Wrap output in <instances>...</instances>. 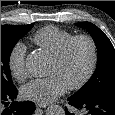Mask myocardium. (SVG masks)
Instances as JSON below:
<instances>
[{"mask_svg": "<svg viewBox=\"0 0 115 115\" xmlns=\"http://www.w3.org/2000/svg\"><path fill=\"white\" fill-rule=\"evenodd\" d=\"M77 42H84L88 45L90 49V64L85 75L78 82L71 84L67 87L69 90H78L82 88L83 86H85L89 82L91 77L93 76L98 64L97 45L95 41L93 40V38H91L88 35H75L72 38H70L68 41H66L62 45V47L57 52V54H55L52 57V60L57 64H61L65 60L71 47Z\"/></svg>", "mask_w": 115, "mask_h": 115, "instance_id": "f54148a6", "label": "myocardium"}]
</instances>
